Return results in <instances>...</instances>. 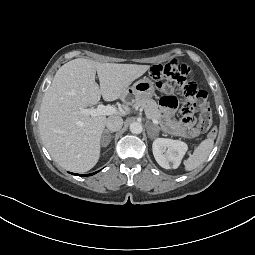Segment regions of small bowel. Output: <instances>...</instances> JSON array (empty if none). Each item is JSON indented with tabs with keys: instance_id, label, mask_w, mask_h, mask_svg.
<instances>
[{
	"instance_id": "1",
	"label": "small bowel",
	"mask_w": 255,
	"mask_h": 255,
	"mask_svg": "<svg viewBox=\"0 0 255 255\" xmlns=\"http://www.w3.org/2000/svg\"><path fill=\"white\" fill-rule=\"evenodd\" d=\"M164 118L165 128L171 134L185 138H193L198 132L194 128V119L190 114H184L180 120L174 119L176 100L174 97H165L160 102Z\"/></svg>"
}]
</instances>
